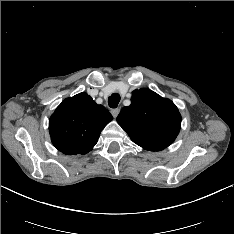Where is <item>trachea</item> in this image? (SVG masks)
<instances>
[{"label": "trachea", "instance_id": "3493384b", "mask_svg": "<svg viewBox=\"0 0 234 234\" xmlns=\"http://www.w3.org/2000/svg\"><path fill=\"white\" fill-rule=\"evenodd\" d=\"M120 102V95L118 93H113L108 98V105L110 108H116Z\"/></svg>", "mask_w": 234, "mask_h": 234}]
</instances>
